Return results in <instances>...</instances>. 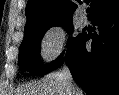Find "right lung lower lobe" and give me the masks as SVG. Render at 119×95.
<instances>
[{
  "label": "right lung lower lobe",
  "instance_id": "1",
  "mask_svg": "<svg viewBox=\"0 0 119 95\" xmlns=\"http://www.w3.org/2000/svg\"><path fill=\"white\" fill-rule=\"evenodd\" d=\"M92 23L98 28L92 35L91 50L85 47L90 36L79 34L66 52V63L74 81L88 95H119V8Z\"/></svg>",
  "mask_w": 119,
  "mask_h": 95
}]
</instances>
